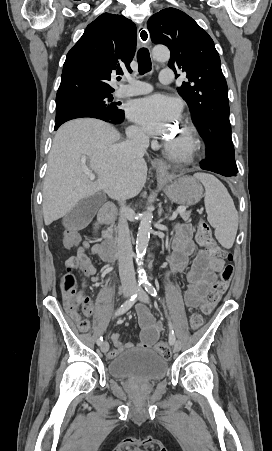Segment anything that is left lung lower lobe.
Returning <instances> with one entry per match:
<instances>
[{
    "mask_svg": "<svg viewBox=\"0 0 272 451\" xmlns=\"http://www.w3.org/2000/svg\"><path fill=\"white\" fill-rule=\"evenodd\" d=\"M200 167L202 169L209 170L227 177H235L237 174L228 169L227 167H225L224 165H222L221 163H218L213 160L204 161Z\"/></svg>",
    "mask_w": 272,
    "mask_h": 451,
    "instance_id": "obj_1",
    "label": "left lung lower lobe"
}]
</instances>
